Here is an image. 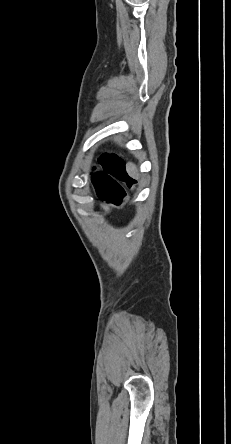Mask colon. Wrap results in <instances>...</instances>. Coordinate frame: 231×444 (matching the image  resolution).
<instances>
[{"label": "colon", "instance_id": "obj_1", "mask_svg": "<svg viewBox=\"0 0 231 444\" xmlns=\"http://www.w3.org/2000/svg\"><path fill=\"white\" fill-rule=\"evenodd\" d=\"M100 169L92 174V182L102 186L103 199L120 204L127 200V191L123 184L132 186L125 171L124 162L114 154L104 153L99 159Z\"/></svg>", "mask_w": 231, "mask_h": 444}]
</instances>
